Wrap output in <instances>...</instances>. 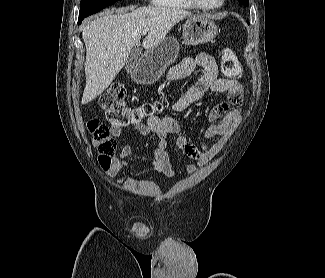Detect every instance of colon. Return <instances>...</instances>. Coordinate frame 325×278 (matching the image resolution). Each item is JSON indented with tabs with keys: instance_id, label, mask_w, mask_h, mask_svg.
<instances>
[{
	"instance_id": "colon-1",
	"label": "colon",
	"mask_w": 325,
	"mask_h": 278,
	"mask_svg": "<svg viewBox=\"0 0 325 278\" xmlns=\"http://www.w3.org/2000/svg\"><path fill=\"white\" fill-rule=\"evenodd\" d=\"M221 65L224 75L231 80H238L242 75V65L230 48L221 50ZM127 92L122 85H113L99 97V105L105 111L108 121L120 127L141 123L146 117L161 112V102H148L138 107H129L126 103ZM87 128L99 153V163L103 168L109 167L111 157L116 152V141L109 127L101 121L91 118Z\"/></svg>"
}]
</instances>
